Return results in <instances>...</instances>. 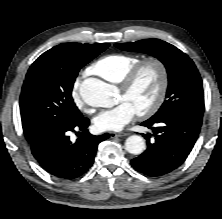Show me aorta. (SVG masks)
<instances>
[{"mask_svg": "<svg viewBox=\"0 0 222 219\" xmlns=\"http://www.w3.org/2000/svg\"><path fill=\"white\" fill-rule=\"evenodd\" d=\"M82 100L92 107H111L114 103V91L106 82L98 78L85 79L79 88ZM125 149L134 155L145 150V141L139 135H132L126 139Z\"/></svg>", "mask_w": 222, "mask_h": 219, "instance_id": "762f6f07", "label": "aorta"}]
</instances>
